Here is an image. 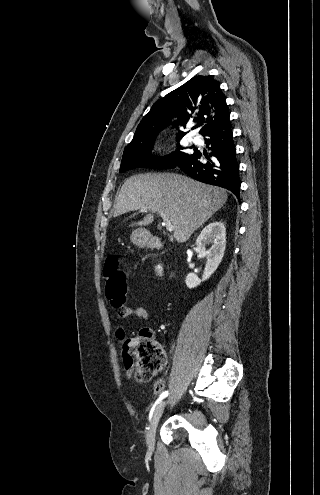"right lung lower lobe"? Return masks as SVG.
Returning <instances> with one entry per match:
<instances>
[{
    "label": "right lung lower lobe",
    "instance_id": "obj_1",
    "mask_svg": "<svg viewBox=\"0 0 320 495\" xmlns=\"http://www.w3.org/2000/svg\"><path fill=\"white\" fill-rule=\"evenodd\" d=\"M202 136L206 137L205 143L212 151L209 155L204 154L207 162L203 163V154L194 150L177 167L195 180L231 191L239 199L241 182L230 120L206 131Z\"/></svg>",
    "mask_w": 320,
    "mask_h": 495
}]
</instances>
